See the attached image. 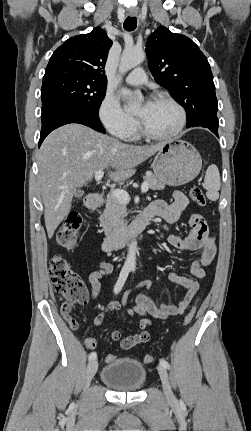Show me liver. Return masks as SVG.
<instances>
[{"instance_id":"1","label":"liver","mask_w":251,"mask_h":431,"mask_svg":"<svg viewBox=\"0 0 251 431\" xmlns=\"http://www.w3.org/2000/svg\"><path fill=\"white\" fill-rule=\"evenodd\" d=\"M164 143L137 146L70 123L50 133L38 155V187L44 205L48 238L68 215L77 188L99 170L111 167L115 182L130 178L135 167L158 152Z\"/></svg>"}]
</instances>
